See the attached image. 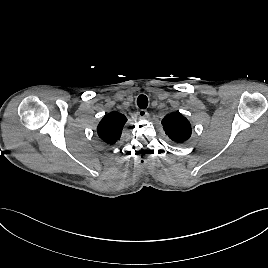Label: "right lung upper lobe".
<instances>
[{
    "label": "right lung upper lobe",
    "instance_id": "obj_1",
    "mask_svg": "<svg viewBox=\"0 0 268 268\" xmlns=\"http://www.w3.org/2000/svg\"><path fill=\"white\" fill-rule=\"evenodd\" d=\"M127 121L125 115L118 112H110L100 121L97 127L98 136L107 144L116 143Z\"/></svg>",
    "mask_w": 268,
    "mask_h": 268
}]
</instances>
